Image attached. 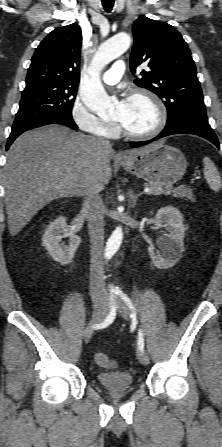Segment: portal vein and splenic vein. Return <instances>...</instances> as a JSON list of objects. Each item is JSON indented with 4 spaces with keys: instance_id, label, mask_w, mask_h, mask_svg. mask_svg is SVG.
<instances>
[{
    "instance_id": "obj_1",
    "label": "portal vein and splenic vein",
    "mask_w": 222,
    "mask_h": 447,
    "mask_svg": "<svg viewBox=\"0 0 222 447\" xmlns=\"http://www.w3.org/2000/svg\"><path fill=\"white\" fill-rule=\"evenodd\" d=\"M150 190H151V189H150L149 187H146V188L144 189V192L149 193ZM165 190H166V188H165V189H162V188H159V189H158L159 193H163Z\"/></svg>"
}]
</instances>
